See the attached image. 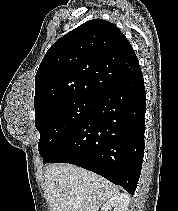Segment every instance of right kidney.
<instances>
[{"label": "right kidney", "instance_id": "1", "mask_svg": "<svg viewBox=\"0 0 178 211\" xmlns=\"http://www.w3.org/2000/svg\"><path fill=\"white\" fill-rule=\"evenodd\" d=\"M129 200L128 194H118L106 201L101 207V211H110L111 208L114 209L113 211H128Z\"/></svg>", "mask_w": 178, "mask_h": 211}]
</instances>
